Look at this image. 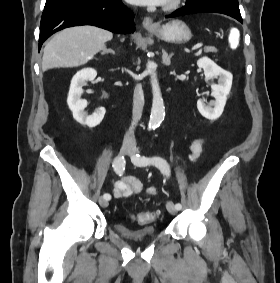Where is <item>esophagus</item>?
Masks as SVG:
<instances>
[{
  "mask_svg": "<svg viewBox=\"0 0 280 283\" xmlns=\"http://www.w3.org/2000/svg\"><path fill=\"white\" fill-rule=\"evenodd\" d=\"M142 24L147 30H155L158 28V26L153 22V19L150 17L144 18Z\"/></svg>",
  "mask_w": 280,
  "mask_h": 283,
  "instance_id": "esophagus-1",
  "label": "esophagus"
}]
</instances>
